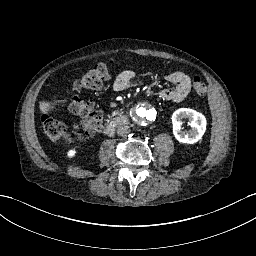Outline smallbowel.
<instances>
[{"mask_svg":"<svg viewBox=\"0 0 256 256\" xmlns=\"http://www.w3.org/2000/svg\"><path fill=\"white\" fill-rule=\"evenodd\" d=\"M135 73L131 70L122 71L114 80L113 88L116 91H124L134 87ZM166 80L175 85L173 88H164L159 91L160 97L166 100L180 102L190 93L192 87L191 78L181 71L173 72L166 76Z\"/></svg>","mask_w":256,"mask_h":256,"instance_id":"small-bowel-1","label":"small bowel"}]
</instances>
